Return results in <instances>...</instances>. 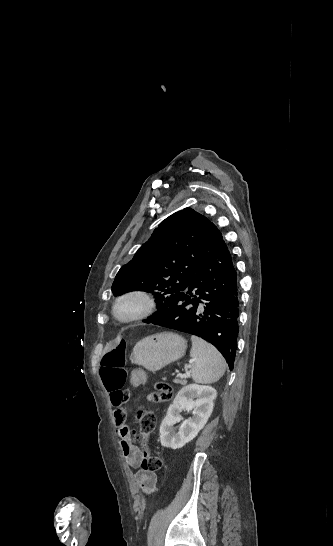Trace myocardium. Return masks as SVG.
<instances>
[{
	"instance_id": "myocardium-1",
	"label": "myocardium",
	"mask_w": 333,
	"mask_h": 546,
	"mask_svg": "<svg viewBox=\"0 0 333 546\" xmlns=\"http://www.w3.org/2000/svg\"><path fill=\"white\" fill-rule=\"evenodd\" d=\"M157 299L150 291L131 289L119 295L112 304V315L121 324H130L150 316Z\"/></svg>"
}]
</instances>
